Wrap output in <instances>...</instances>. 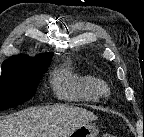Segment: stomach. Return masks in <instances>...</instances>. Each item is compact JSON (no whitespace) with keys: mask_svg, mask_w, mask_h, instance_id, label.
I'll return each instance as SVG.
<instances>
[{"mask_svg":"<svg viewBox=\"0 0 144 137\" xmlns=\"http://www.w3.org/2000/svg\"><path fill=\"white\" fill-rule=\"evenodd\" d=\"M99 128L95 124H84L75 129L68 137H97Z\"/></svg>","mask_w":144,"mask_h":137,"instance_id":"1","label":"stomach"}]
</instances>
